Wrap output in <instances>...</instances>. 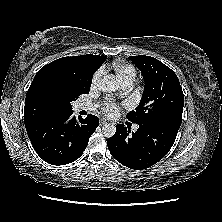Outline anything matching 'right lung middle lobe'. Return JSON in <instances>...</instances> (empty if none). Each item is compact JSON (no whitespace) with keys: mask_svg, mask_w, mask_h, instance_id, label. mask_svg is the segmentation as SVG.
I'll list each match as a JSON object with an SVG mask.
<instances>
[{"mask_svg":"<svg viewBox=\"0 0 222 222\" xmlns=\"http://www.w3.org/2000/svg\"><path fill=\"white\" fill-rule=\"evenodd\" d=\"M92 80L79 81L56 73L53 83L47 90V97L62 103L66 110H72L71 101L76 100L81 94H88Z\"/></svg>","mask_w":222,"mask_h":222,"instance_id":"obj_1","label":"right lung middle lobe"}]
</instances>
